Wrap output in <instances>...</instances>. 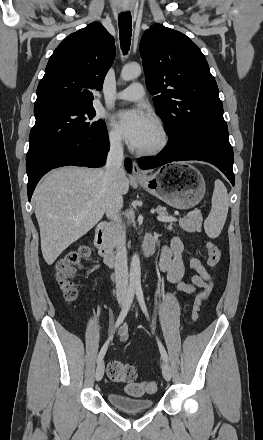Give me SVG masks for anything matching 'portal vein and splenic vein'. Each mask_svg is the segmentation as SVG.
Segmentation results:
<instances>
[{"instance_id": "18ae733b", "label": "portal vein and splenic vein", "mask_w": 263, "mask_h": 440, "mask_svg": "<svg viewBox=\"0 0 263 440\" xmlns=\"http://www.w3.org/2000/svg\"><path fill=\"white\" fill-rule=\"evenodd\" d=\"M127 216H129V213L127 214ZM157 219L159 220V221H161V222H173V221H177V218L176 217H173V216H163V215H159L158 217H157Z\"/></svg>"}]
</instances>
